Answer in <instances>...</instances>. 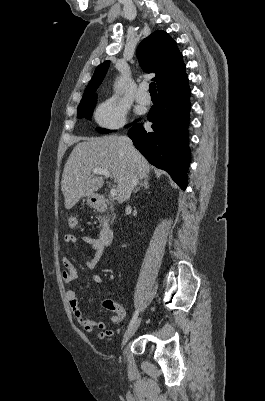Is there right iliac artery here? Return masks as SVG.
Returning <instances> with one entry per match:
<instances>
[{"label": "right iliac artery", "instance_id": "obj_1", "mask_svg": "<svg viewBox=\"0 0 265 401\" xmlns=\"http://www.w3.org/2000/svg\"><path fill=\"white\" fill-rule=\"evenodd\" d=\"M138 313H139V311H138V309H137V310L134 312V314H133V316H132V319L130 320V323H129V326H128V327H130L131 325H133V323L137 320Z\"/></svg>", "mask_w": 265, "mask_h": 401}]
</instances>
